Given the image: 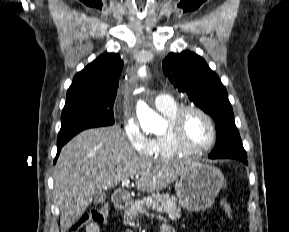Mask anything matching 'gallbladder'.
I'll use <instances>...</instances> for the list:
<instances>
[{
  "instance_id": "bac80fb5",
  "label": "gallbladder",
  "mask_w": 289,
  "mask_h": 232,
  "mask_svg": "<svg viewBox=\"0 0 289 232\" xmlns=\"http://www.w3.org/2000/svg\"><path fill=\"white\" fill-rule=\"evenodd\" d=\"M106 199V195L102 191H96L92 197V203L94 205L102 204Z\"/></svg>"
}]
</instances>
